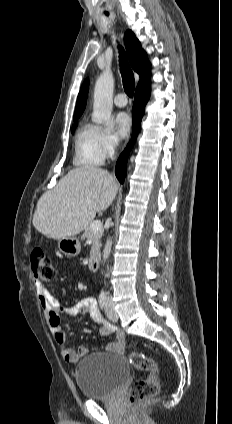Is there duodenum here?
<instances>
[{"instance_id":"1","label":"duodenum","mask_w":232,"mask_h":424,"mask_svg":"<svg viewBox=\"0 0 232 424\" xmlns=\"http://www.w3.org/2000/svg\"><path fill=\"white\" fill-rule=\"evenodd\" d=\"M99 262H100V256L98 253H95L89 261V265H88L89 270L95 271L99 266Z\"/></svg>"}]
</instances>
